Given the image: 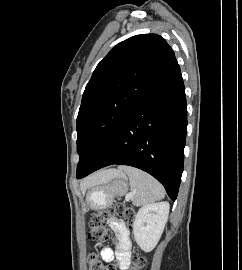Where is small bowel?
<instances>
[{"instance_id":"1","label":"small bowel","mask_w":242,"mask_h":270,"mask_svg":"<svg viewBox=\"0 0 242 270\" xmlns=\"http://www.w3.org/2000/svg\"><path fill=\"white\" fill-rule=\"evenodd\" d=\"M109 226L113 230L117 239V260L123 270H126L130 263V241L129 229L124 221L118 218H112ZM101 257L105 262L114 260V252L111 248L105 247L101 249Z\"/></svg>"}]
</instances>
